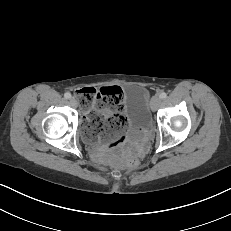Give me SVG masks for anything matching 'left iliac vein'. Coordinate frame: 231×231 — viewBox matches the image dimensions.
Instances as JSON below:
<instances>
[{
  "label": "left iliac vein",
  "mask_w": 231,
  "mask_h": 231,
  "mask_svg": "<svg viewBox=\"0 0 231 231\" xmlns=\"http://www.w3.org/2000/svg\"><path fill=\"white\" fill-rule=\"evenodd\" d=\"M161 103V99L158 96H153L152 100H151V109L152 111H156Z\"/></svg>",
  "instance_id": "left-iliac-vein-1"
}]
</instances>
